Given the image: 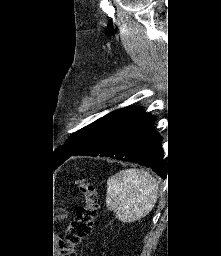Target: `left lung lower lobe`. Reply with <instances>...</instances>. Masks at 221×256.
I'll list each match as a JSON object with an SVG mask.
<instances>
[{
    "label": "left lung lower lobe",
    "mask_w": 221,
    "mask_h": 256,
    "mask_svg": "<svg viewBox=\"0 0 221 256\" xmlns=\"http://www.w3.org/2000/svg\"><path fill=\"white\" fill-rule=\"evenodd\" d=\"M155 117L142 107L107 121L86 139L72 154L107 156L122 161L136 162L166 177L163 164L162 138L153 129Z\"/></svg>",
    "instance_id": "obj_1"
}]
</instances>
